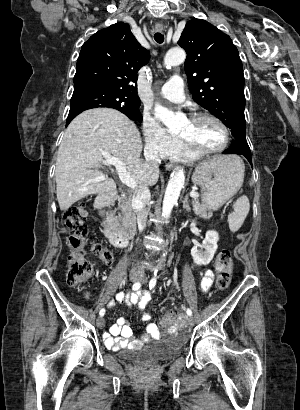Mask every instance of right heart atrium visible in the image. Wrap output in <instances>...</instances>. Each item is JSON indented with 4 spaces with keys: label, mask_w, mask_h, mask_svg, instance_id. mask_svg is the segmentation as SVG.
Returning <instances> with one entry per match:
<instances>
[{
    "label": "right heart atrium",
    "mask_w": 300,
    "mask_h": 410,
    "mask_svg": "<svg viewBox=\"0 0 300 410\" xmlns=\"http://www.w3.org/2000/svg\"><path fill=\"white\" fill-rule=\"evenodd\" d=\"M142 133L147 153L161 158L167 157L179 143L175 136L147 116L143 117Z\"/></svg>",
    "instance_id": "obj_1"
}]
</instances>
